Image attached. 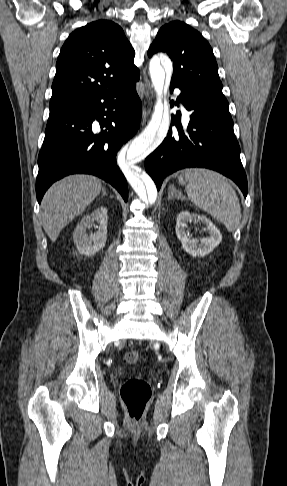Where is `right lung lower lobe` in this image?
<instances>
[{
    "mask_svg": "<svg viewBox=\"0 0 287 486\" xmlns=\"http://www.w3.org/2000/svg\"><path fill=\"white\" fill-rule=\"evenodd\" d=\"M136 81L49 116L38 157L36 195L39 203L52 183L75 173L102 178L127 201V182L115 158L139 127L142 108L135 90ZM95 120L100 130L93 125Z\"/></svg>",
    "mask_w": 287,
    "mask_h": 486,
    "instance_id": "right-lung-lower-lobe-1",
    "label": "right lung lower lobe"
}]
</instances>
